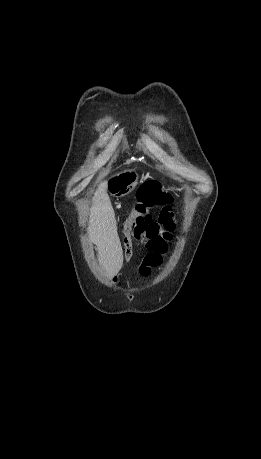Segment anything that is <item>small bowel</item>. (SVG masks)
Returning a JSON list of instances; mask_svg holds the SVG:
<instances>
[{"instance_id": "obj_1", "label": "small bowel", "mask_w": 261, "mask_h": 459, "mask_svg": "<svg viewBox=\"0 0 261 459\" xmlns=\"http://www.w3.org/2000/svg\"><path fill=\"white\" fill-rule=\"evenodd\" d=\"M169 219L172 221L171 218ZM171 238L172 234H160L159 238H138L137 233L135 234L133 241L143 244L147 250L138 268L142 277H149L152 270L161 264L162 256L166 253Z\"/></svg>"}]
</instances>
